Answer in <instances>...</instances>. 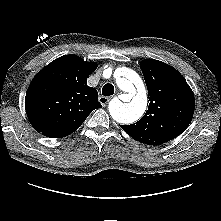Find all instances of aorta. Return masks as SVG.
Returning <instances> with one entry per match:
<instances>
[{"instance_id":"obj_1","label":"aorta","mask_w":221,"mask_h":221,"mask_svg":"<svg viewBox=\"0 0 221 221\" xmlns=\"http://www.w3.org/2000/svg\"><path fill=\"white\" fill-rule=\"evenodd\" d=\"M117 86L126 94L127 103L113 100L109 104V112L114 120L119 123H131L138 120L147 107V95L139 75L129 69L121 68L116 76Z\"/></svg>"}]
</instances>
